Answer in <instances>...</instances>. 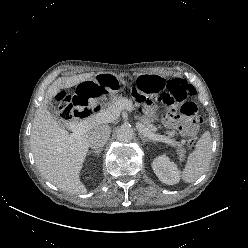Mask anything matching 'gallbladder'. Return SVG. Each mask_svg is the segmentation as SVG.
<instances>
[{
  "instance_id": "1",
  "label": "gallbladder",
  "mask_w": 248,
  "mask_h": 248,
  "mask_svg": "<svg viewBox=\"0 0 248 248\" xmlns=\"http://www.w3.org/2000/svg\"><path fill=\"white\" fill-rule=\"evenodd\" d=\"M46 108L47 110L49 111V113L55 118V119H58L59 118V113L56 109V107L51 103V102H48L46 104Z\"/></svg>"
}]
</instances>
